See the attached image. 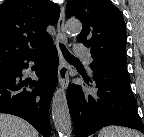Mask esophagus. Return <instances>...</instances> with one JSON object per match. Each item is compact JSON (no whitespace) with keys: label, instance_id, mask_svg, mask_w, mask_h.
Wrapping results in <instances>:
<instances>
[{"label":"esophagus","instance_id":"34e87169","mask_svg":"<svg viewBox=\"0 0 144 137\" xmlns=\"http://www.w3.org/2000/svg\"><path fill=\"white\" fill-rule=\"evenodd\" d=\"M55 42L59 55L58 82L64 89H66L69 83V67L60 48V44L67 43V37L65 33V11L63 7L61 8L60 17L57 23V37Z\"/></svg>","mask_w":144,"mask_h":137}]
</instances>
